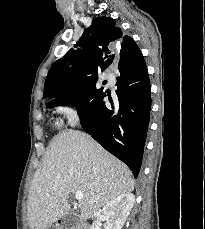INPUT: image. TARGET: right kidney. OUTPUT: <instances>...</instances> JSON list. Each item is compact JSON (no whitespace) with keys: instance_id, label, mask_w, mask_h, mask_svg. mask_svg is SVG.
Here are the masks:
<instances>
[{"instance_id":"obj_1","label":"right kidney","mask_w":205,"mask_h":229,"mask_svg":"<svg viewBox=\"0 0 205 229\" xmlns=\"http://www.w3.org/2000/svg\"><path fill=\"white\" fill-rule=\"evenodd\" d=\"M135 196L131 193L122 194L108 202L102 210L106 220V229H122L134 205ZM90 229H95L94 224Z\"/></svg>"}]
</instances>
